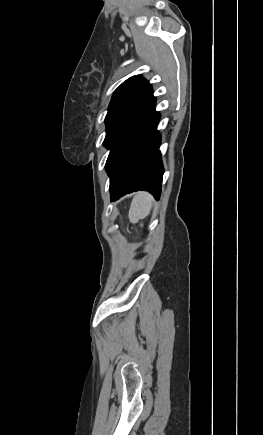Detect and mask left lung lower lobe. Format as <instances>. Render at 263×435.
I'll return each instance as SVG.
<instances>
[{
	"instance_id": "0a47b994",
	"label": "left lung lower lobe",
	"mask_w": 263,
	"mask_h": 435,
	"mask_svg": "<svg viewBox=\"0 0 263 435\" xmlns=\"http://www.w3.org/2000/svg\"><path fill=\"white\" fill-rule=\"evenodd\" d=\"M159 118L154 101L111 146L106 162L111 201L137 190H147L159 199L164 172L157 131Z\"/></svg>"
}]
</instances>
